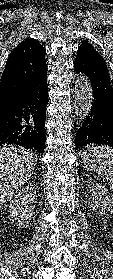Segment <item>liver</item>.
<instances>
[{"label": "liver", "instance_id": "1", "mask_svg": "<svg viewBox=\"0 0 113 279\" xmlns=\"http://www.w3.org/2000/svg\"><path fill=\"white\" fill-rule=\"evenodd\" d=\"M36 153L20 146L0 148V206L10 201L33 174Z\"/></svg>", "mask_w": 113, "mask_h": 279}]
</instances>
